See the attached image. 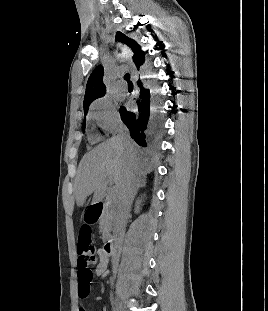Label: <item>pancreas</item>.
<instances>
[{"instance_id":"1","label":"pancreas","mask_w":268,"mask_h":311,"mask_svg":"<svg viewBox=\"0 0 268 311\" xmlns=\"http://www.w3.org/2000/svg\"><path fill=\"white\" fill-rule=\"evenodd\" d=\"M114 220V212L106 210L99 221L100 232L102 233L103 240H106L110 236V231L112 229Z\"/></svg>"}]
</instances>
